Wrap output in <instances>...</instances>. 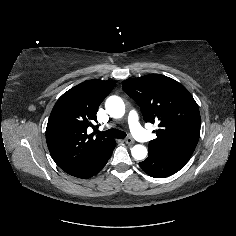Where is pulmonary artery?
I'll return each mask as SVG.
<instances>
[{
    "label": "pulmonary artery",
    "instance_id": "1",
    "mask_svg": "<svg viewBox=\"0 0 236 236\" xmlns=\"http://www.w3.org/2000/svg\"><path fill=\"white\" fill-rule=\"evenodd\" d=\"M128 121L130 128L136 138L142 142L152 140V135L145 131L139 123V117L136 111L131 110L128 114Z\"/></svg>",
    "mask_w": 236,
    "mask_h": 236
}]
</instances>
